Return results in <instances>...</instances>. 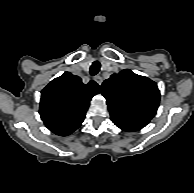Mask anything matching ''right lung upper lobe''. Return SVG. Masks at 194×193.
Masks as SVG:
<instances>
[{
  "label": "right lung upper lobe",
  "mask_w": 194,
  "mask_h": 193,
  "mask_svg": "<svg viewBox=\"0 0 194 193\" xmlns=\"http://www.w3.org/2000/svg\"><path fill=\"white\" fill-rule=\"evenodd\" d=\"M100 92V86L65 72L52 80L41 92L39 113L46 127L60 136H67L83 122L89 102Z\"/></svg>",
  "instance_id": "obj_1"
}]
</instances>
